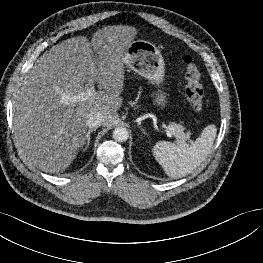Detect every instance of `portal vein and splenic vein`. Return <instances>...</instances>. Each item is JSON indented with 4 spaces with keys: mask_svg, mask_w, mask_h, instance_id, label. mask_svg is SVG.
<instances>
[{
    "mask_svg": "<svg viewBox=\"0 0 263 263\" xmlns=\"http://www.w3.org/2000/svg\"><path fill=\"white\" fill-rule=\"evenodd\" d=\"M95 93V88L91 87L88 88L85 92L79 93V94H75V95H63V100L64 103L69 104V103H77V102H81L86 100L87 98L93 96ZM163 128L165 129V132L167 134L168 137H172V132L170 131L169 127L163 126Z\"/></svg>",
    "mask_w": 263,
    "mask_h": 263,
    "instance_id": "obj_1",
    "label": "portal vein and splenic vein"
}]
</instances>
